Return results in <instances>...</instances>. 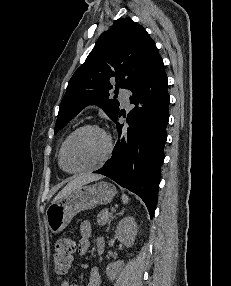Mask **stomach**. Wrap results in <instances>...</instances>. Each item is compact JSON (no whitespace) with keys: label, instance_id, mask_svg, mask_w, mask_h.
<instances>
[{"label":"stomach","instance_id":"obj_1","mask_svg":"<svg viewBox=\"0 0 231 286\" xmlns=\"http://www.w3.org/2000/svg\"><path fill=\"white\" fill-rule=\"evenodd\" d=\"M115 194V186L105 181L83 185L47 208V226L52 233L57 234L65 229L78 213L110 203Z\"/></svg>","mask_w":231,"mask_h":286}]
</instances>
